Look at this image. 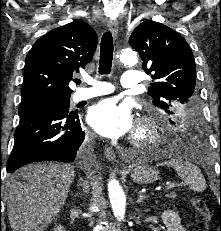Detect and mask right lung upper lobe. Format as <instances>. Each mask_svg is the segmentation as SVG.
Masks as SVG:
<instances>
[{"label": "right lung upper lobe", "mask_w": 221, "mask_h": 231, "mask_svg": "<svg viewBox=\"0 0 221 231\" xmlns=\"http://www.w3.org/2000/svg\"><path fill=\"white\" fill-rule=\"evenodd\" d=\"M97 42L93 28L81 20L55 28L38 39L26 56L22 100L70 98L68 84L73 74L92 60Z\"/></svg>", "instance_id": "right-lung-upper-lobe-1"}]
</instances>
